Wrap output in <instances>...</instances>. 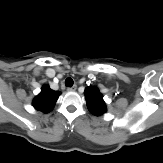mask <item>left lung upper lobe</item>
Instances as JSON below:
<instances>
[{"label":"left lung upper lobe","instance_id":"obj_1","mask_svg":"<svg viewBox=\"0 0 163 163\" xmlns=\"http://www.w3.org/2000/svg\"><path fill=\"white\" fill-rule=\"evenodd\" d=\"M85 98L89 111L98 116L106 112L103 96L96 87L89 86L85 89Z\"/></svg>","mask_w":163,"mask_h":163}]
</instances>
